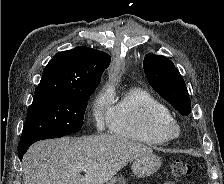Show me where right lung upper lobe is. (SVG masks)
Instances as JSON below:
<instances>
[{"mask_svg": "<svg viewBox=\"0 0 224 184\" xmlns=\"http://www.w3.org/2000/svg\"><path fill=\"white\" fill-rule=\"evenodd\" d=\"M110 61L108 54L87 47L59 52L45 67L35 93L95 89Z\"/></svg>", "mask_w": 224, "mask_h": 184, "instance_id": "cb5924a9", "label": "right lung upper lobe"}]
</instances>
